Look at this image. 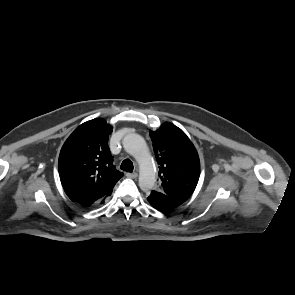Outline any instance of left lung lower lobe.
Returning a JSON list of instances; mask_svg holds the SVG:
<instances>
[{
    "label": "left lung lower lobe",
    "mask_w": 295,
    "mask_h": 295,
    "mask_svg": "<svg viewBox=\"0 0 295 295\" xmlns=\"http://www.w3.org/2000/svg\"><path fill=\"white\" fill-rule=\"evenodd\" d=\"M148 202L159 211H168L180 206L183 201L166 196L160 192L152 191L147 198Z\"/></svg>",
    "instance_id": "1"
}]
</instances>
